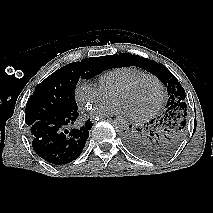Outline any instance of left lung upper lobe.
I'll use <instances>...</instances> for the list:
<instances>
[{
	"label": "left lung upper lobe",
	"mask_w": 213,
	"mask_h": 213,
	"mask_svg": "<svg viewBox=\"0 0 213 213\" xmlns=\"http://www.w3.org/2000/svg\"><path fill=\"white\" fill-rule=\"evenodd\" d=\"M114 67L137 66L157 76L167 87L169 99L158 129L149 139V159L161 160L173 154L186 134L187 105L185 91L176 77L163 65L153 60L121 53L113 57ZM162 120L163 123H162Z\"/></svg>",
	"instance_id": "left-lung-upper-lobe-1"
}]
</instances>
